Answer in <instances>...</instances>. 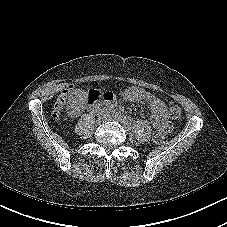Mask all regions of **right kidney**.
<instances>
[{
  "label": "right kidney",
  "mask_w": 227,
  "mask_h": 227,
  "mask_svg": "<svg viewBox=\"0 0 227 227\" xmlns=\"http://www.w3.org/2000/svg\"><path fill=\"white\" fill-rule=\"evenodd\" d=\"M79 103L80 101L75 98V97H72L69 101V105L67 107V110H68V115L69 116H74V115H77L79 113Z\"/></svg>",
  "instance_id": "right-kidney-1"
}]
</instances>
